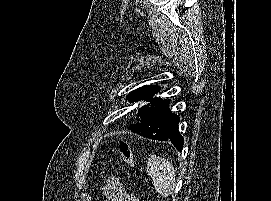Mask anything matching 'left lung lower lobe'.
I'll list each match as a JSON object with an SVG mask.
<instances>
[{"instance_id": "1", "label": "left lung lower lobe", "mask_w": 271, "mask_h": 201, "mask_svg": "<svg viewBox=\"0 0 271 201\" xmlns=\"http://www.w3.org/2000/svg\"><path fill=\"white\" fill-rule=\"evenodd\" d=\"M179 121V116L174 114L169 133L159 141H170L179 151H182L184 140L178 131ZM130 130L139 134V128L133 125L130 126Z\"/></svg>"}]
</instances>
